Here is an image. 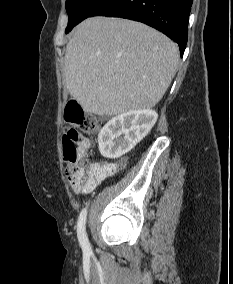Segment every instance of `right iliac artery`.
<instances>
[{
	"label": "right iliac artery",
	"mask_w": 233,
	"mask_h": 284,
	"mask_svg": "<svg viewBox=\"0 0 233 284\" xmlns=\"http://www.w3.org/2000/svg\"><path fill=\"white\" fill-rule=\"evenodd\" d=\"M86 217H87V208H83L77 222V236L82 249L85 252H89L90 244L85 231Z\"/></svg>",
	"instance_id": "1"
}]
</instances>
